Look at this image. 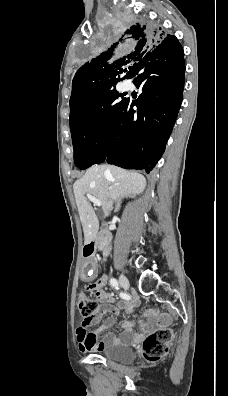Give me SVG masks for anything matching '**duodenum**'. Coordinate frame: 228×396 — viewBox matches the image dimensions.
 I'll return each mask as SVG.
<instances>
[{
    "mask_svg": "<svg viewBox=\"0 0 228 396\" xmlns=\"http://www.w3.org/2000/svg\"><path fill=\"white\" fill-rule=\"evenodd\" d=\"M111 240L110 233L108 231H100L96 236L90 238L85 246L84 252H87L91 256L97 249L101 250L103 254L108 252V246Z\"/></svg>",
    "mask_w": 228,
    "mask_h": 396,
    "instance_id": "duodenum-1",
    "label": "duodenum"
}]
</instances>
